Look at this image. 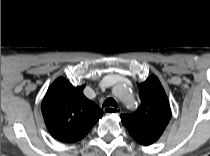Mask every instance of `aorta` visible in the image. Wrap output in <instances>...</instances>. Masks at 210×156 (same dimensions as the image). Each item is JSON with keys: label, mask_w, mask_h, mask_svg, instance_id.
Returning <instances> with one entry per match:
<instances>
[{"label": "aorta", "mask_w": 210, "mask_h": 156, "mask_svg": "<svg viewBox=\"0 0 210 156\" xmlns=\"http://www.w3.org/2000/svg\"><path fill=\"white\" fill-rule=\"evenodd\" d=\"M114 94L122 101L128 102L132 100V94L128 86L124 83H119L114 87Z\"/></svg>", "instance_id": "1"}]
</instances>
